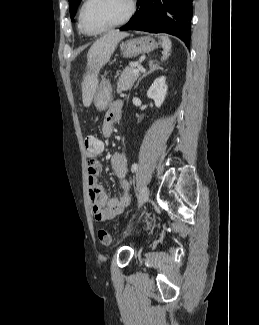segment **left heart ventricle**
Masks as SVG:
<instances>
[{
    "label": "left heart ventricle",
    "instance_id": "obj_1",
    "mask_svg": "<svg viewBox=\"0 0 259 325\" xmlns=\"http://www.w3.org/2000/svg\"><path fill=\"white\" fill-rule=\"evenodd\" d=\"M129 0H91L83 14L84 26L99 31L120 21L127 13Z\"/></svg>",
    "mask_w": 259,
    "mask_h": 325
}]
</instances>
